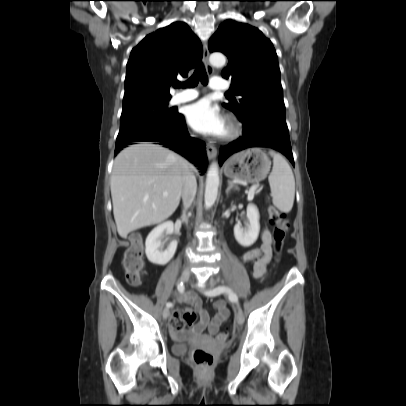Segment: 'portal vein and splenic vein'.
<instances>
[{
  "label": "portal vein and splenic vein",
  "instance_id": "obj_1",
  "mask_svg": "<svg viewBox=\"0 0 406 406\" xmlns=\"http://www.w3.org/2000/svg\"><path fill=\"white\" fill-rule=\"evenodd\" d=\"M257 188H258V184H254V185L251 186V188L249 189V193H248V199L249 200L253 199L255 191L257 190ZM163 196H168V193L163 192Z\"/></svg>",
  "mask_w": 406,
  "mask_h": 406
}]
</instances>
